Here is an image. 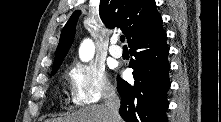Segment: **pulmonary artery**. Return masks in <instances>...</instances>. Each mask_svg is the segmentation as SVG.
I'll return each instance as SVG.
<instances>
[{
	"instance_id": "e3ab8cb5",
	"label": "pulmonary artery",
	"mask_w": 221,
	"mask_h": 122,
	"mask_svg": "<svg viewBox=\"0 0 221 122\" xmlns=\"http://www.w3.org/2000/svg\"><path fill=\"white\" fill-rule=\"evenodd\" d=\"M118 38L113 37L111 39V45L109 47V53L115 57V58H120L122 57L123 51L122 49L117 45Z\"/></svg>"
}]
</instances>
